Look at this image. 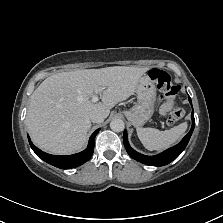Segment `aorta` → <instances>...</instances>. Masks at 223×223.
I'll return each mask as SVG.
<instances>
[{"mask_svg": "<svg viewBox=\"0 0 223 223\" xmlns=\"http://www.w3.org/2000/svg\"><path fill=\"white\" fill-rule=\"evenodd\" d=\"M110 128L112 131L114 132H121L124 130L125 128V124H124V121L122 119H113L111 122H110Z\"/></svg>", "mask_w": 223, "mask_h": 223, "instance_id": "1", "label": "aorta"}]
</instances>
